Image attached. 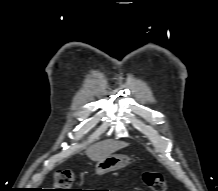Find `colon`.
<instances>
[{"label": "colon", "instance_id": "1", "mask_svg": "<svg viewBox=\"0 0 218 191\" xmlns=\"http://www.w3.org/2000/svg\"><path fill=\"white\" fill-rule=\"evenodd\" d=\"M144 184L151 191H165L166 182L164 176L158 171L145 172L142 176ZM75 175L71 170L58 172L54 177L55 191H78L72 189Z\"/></svg>", "mask_w": 218, "mask_h": 191}]
</instances>
